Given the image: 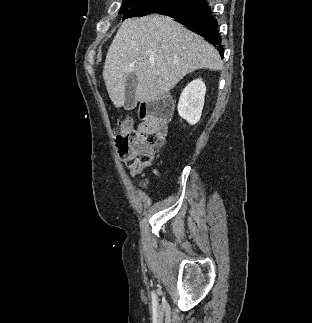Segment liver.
Returning a JSON list of instances; mask_svg holds the SVG:
<instances>
[{
    "mask_svg": "<svg viewBox=\"0 0 312 323\" xmlns=\"http://www.w3.org/2000/svg\"><path fill=\"white\" fill-rule=\"evenodd\" d=\"M222 70L218 50L169 16L122 22L106 56L103 78L116 108L125 100L129 74L137 76L135 102H156L190 72Z\"/></svg>",
    "mask_w": 312,
    "mask_h": 323,
    "instance_id": "6515ba94",
    "label": "liver"
}]
</instances>
